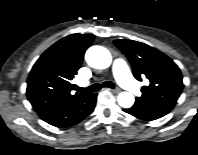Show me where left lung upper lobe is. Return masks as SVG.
<instances>
[{
	"instance_id": "left-lung-upper-lobe-1",
	"label": "left lung upper lobe",
	"mask_w": 198,
	"mask_h": 155,
	"mask_svg": "<svg viewBox=\"0 0 198 155\" xmlns=\"http://www.w3.org/2000/svg\"><path fill=\"white\" fill-rule=\"evenodd\" d=\"M114 43L132 64L134 77L139 81L142 77L149 80L136 101L174 106L184 86L178 66L168 56L144 43L133 40H115Z\"/></svg>"
}]
</instances>
